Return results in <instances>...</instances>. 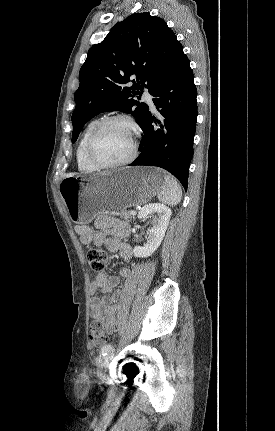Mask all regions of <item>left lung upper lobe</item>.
<instances>
[{
	"mask_svg": "<svg viewBox=\"0 0 275 431\" xmlns=\"http://www.w3.org/2000/svg\"><path fill=\"white\" fill-rule=\"evenodd\" d=\"M179 45L166 22L147 12L118 22L101 43L89 49L80 69L71 117L72 143L84 124L101 112L129 113L141 126L149 107L133 97L140 98L144 87L152 93ZM130 79L133 85L128 87Z\"/></svg>",
	"mask_w": 275,
	"mask_h": 431,
	"instance_id": "1",
	"label": "left lung upper lobe"
}]
</instances>
